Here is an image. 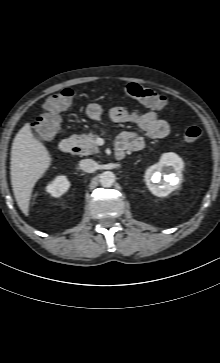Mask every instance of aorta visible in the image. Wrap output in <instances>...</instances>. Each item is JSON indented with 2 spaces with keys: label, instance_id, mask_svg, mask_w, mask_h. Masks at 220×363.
<instances>
[{
  "label": "aorta",
  "instance_id": "obj_1",
  "mask_svg": "<svg viewBox=\"0 0 220 363\" xmlns=\"http://www.w3.org/2000/svg\"><path fill=\"white\" fill-rule=\"evenodd\" d=\"M115 183V174L111 171H105L100 175V184L103 187H111Z\"/></svg>",
  "mask_w": 220,
  "mask_h": 363
}]
</instances>
